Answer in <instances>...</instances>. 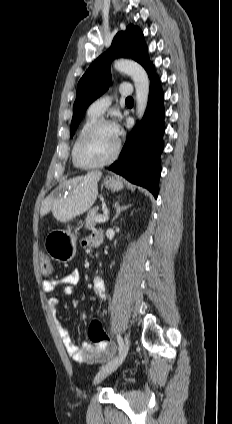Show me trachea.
I'll list each match as a JSON object with an SVG mask.
<instances>
[{
	"mask_svg": "<svg viewBox=\"0 0 232 424\" xmlns=\"http://www.w3.org/2000/svg\"><path fill=\"white\" fill-rule=\"evenodd\" d=\"M126 103H133V98L132 97L126 98Z\"/></svg>",
	"mask_w": 232,
	"mask_h": 424,
	"instance_id": "1",
	"label": "trachea"
}]
</instances>
